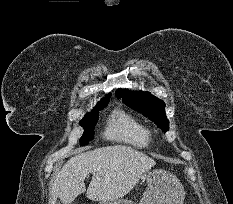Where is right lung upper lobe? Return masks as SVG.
I'll return each instance as SVG.
<instances>
[{"label": "right lung upper lobe", "mask_w": 233, "mask_h": 204, "mask_svg": "<svg viewBox=\"0 0 233 204\" xmlns=\"http://www.w3.org/2000/svg\"><path fill=\"white\" fill-rule=\"evenodd\" d=\"M110 96H111V95L109 94V95H107L106 97H104V98L100 101V103L109 101V100H110Z\"/></svg>", "instance_id": "right-lung-upper-lobe-1"}]
</instances>
